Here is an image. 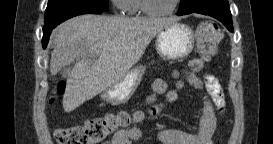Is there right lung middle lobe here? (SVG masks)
I'll return each mask as SVG.
<instances>
[{
    "label": "right lung middle lobe",
    "mask_w": 273,
    "mask_h": 144,
    "mask_svg": "<svg viewBox=\"0 0 273 144\" xmlns=\"http://www.w3.org/2000/svg\"><path fill=\"white\" fill-rule=\"evenodd\" d=\"M78 7H94L107 11L108 0H48L44 24H48L56 13Z\"/></svg>",
    "instance_id": "right-lung-middle-lobe-1"
}]
</instances>
